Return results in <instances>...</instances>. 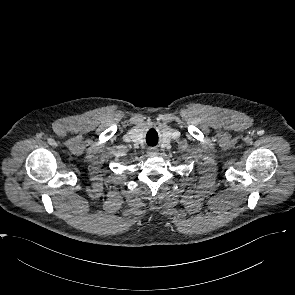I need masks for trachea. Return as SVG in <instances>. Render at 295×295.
I'll use <instances>...</instances> for the list:
<instances>
[{"label":"trachea","instance_id":"obj_1","mask_svg":"<svg viewBox=\"0 0 295 295\" xmlns=\"http://www.w3.org/2000/svg\"><path fill=\"white\" fill-rule=\"evenodd\" d=\"M147 144L150 146H155L158 142V137H150L149 135L146 138Z\"/></svg>","mask_w":295,"mask_h":295}]
</instances>
